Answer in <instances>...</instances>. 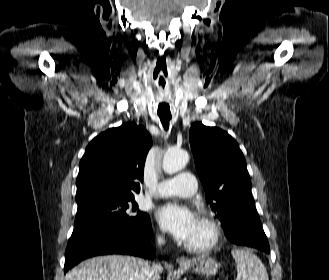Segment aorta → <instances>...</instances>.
Wrapping results in <instances>:
<instances>
[{"mask_svg":"<svg viewBox=\"0 0 329 280\" xmlns=\"http://www.w3.org/2000/svg\"><path fill=\"white\" fill-rule=\"evenodd\" d=\"M189 161L186 151L171 148L168 149L163 158V170L167 174H174L182 170Z\"/></svg>","mask_w":329,"mask_h":280,"instance_id":"aorta-1","label":"aorta"}]
</instances>
